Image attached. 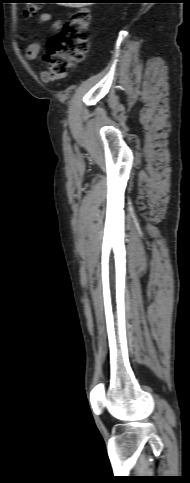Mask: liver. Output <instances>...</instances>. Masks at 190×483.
Segmentation results:
<instances>
[{
  "instance_id": "liver-1",
  "label": "liver",
  "mask_w": 190,
  "mask_h": 483,
  "mask_svg": "<svg viewBox=\"0 0 190 483\" xmlns=\"http://www.w3.org/2000/svg\"><path fill=\"white\" fill-rule=\"evenodd\" d=\"M63 5H67L69 7H82L84 5H87V4H91V3H62Z\"/></svg>"
}]
</instances>
